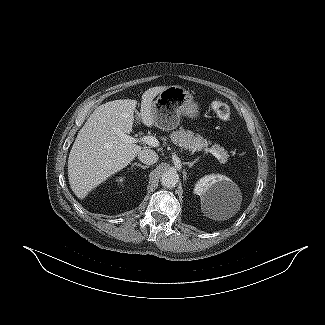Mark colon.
<instances>
[{
  "label": "colon",
  "instance_id": "1",
  "mask_svg": "<svg viewBox=\"0 0 325 325\" xmlns=\"http://www.w3.org/2000/svg\"><path fill=\"white\" fill-rule=\"evenodd\" d=\"M212 110L216 113V115L222 120V121H229L231 118V113L229 107L221 102V101H214L211 103Z\"/></svg>",
  "mask_w": 325,
  "mask_h": 325
}]
</instances>
